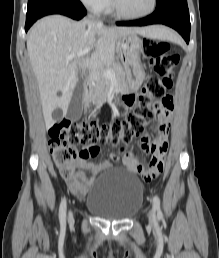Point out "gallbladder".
Returning <instances> with one entry per match:
<instances>
[{"label": "gallbladder", "instance_id": "bac80fb5", "mask_svg": "<svg viewBox=\"0 0 219 258\" xmlns=\"http://www.w3.org/2000/svg\"><path fill=\"white\" fill-rule=\"evenodd\" d=\"M83 95V83L79 81L74 89L72 98L67 109L66 116L69 120L77 121L81 118L83 111Z\"/></svg>", "mask_w": 219, "mask_h": 258}]
</instances>
